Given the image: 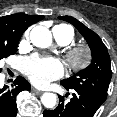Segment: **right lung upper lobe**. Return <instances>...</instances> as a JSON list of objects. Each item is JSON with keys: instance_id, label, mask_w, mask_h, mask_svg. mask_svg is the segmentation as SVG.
Listing matches in <instances>:
<instances>
[{"instance_id": "1", "label": "right lung upper lobe", "mask_w": 117, "mask_h": 117, "mask_svg": "<svg viewBox=\"0 0 117 117\" xmlns=\"http://www.w3.org/2000/svg\"><path fill=\"white\" fill-rule=\"evenodd\" d=\"M44 16L17 13L0 17V39H20L23 32Z\"/></svg>"}]
</instances>
